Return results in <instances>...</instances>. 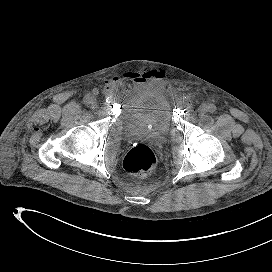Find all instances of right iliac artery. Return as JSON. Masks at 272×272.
<instances>
[{
	"mask_svg": "<svg viewBox=\"0 0 272 272\" xmlns=\"http://www.w3.org/2000/svg\"><path fill=\"white\" fill-rule=\"evenodd\" d=\"M84 103H85L86 105H89V104L91 103V101H90V96H89V95H87V96L84 97Z\"/></svg>",
	"mask_w": 272,
	"mask_h": 272,
	"instance_id": "82829eb1",
	"label": "right iliac artery"
}]
</instances>
